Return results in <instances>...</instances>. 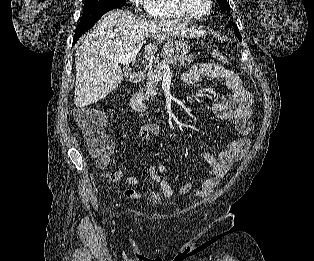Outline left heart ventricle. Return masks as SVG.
<instances>
[{
	"label": "left heart ventricle",
	"mask_w": 314,
	"mask_h": 261,
	"mask_svg": "<svg viewBox=\"0 0 314 261\" xmlns=\"http://www.w3.org/2000/svg\"><path fill=\"white\" fill-rule=\"evenodd\" d=\"M184 3L194 14H202L208 8V0H184Z\"/></svg>",
	"instance_id": "b2bd125f"
}]
</instances>
